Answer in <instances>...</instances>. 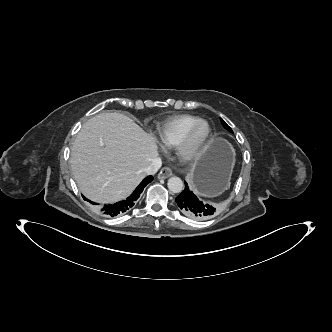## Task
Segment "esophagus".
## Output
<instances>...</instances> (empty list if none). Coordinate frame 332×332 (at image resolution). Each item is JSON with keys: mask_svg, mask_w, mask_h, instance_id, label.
<instances>
[{"mask_svg": "<svg viewBox=\"0 0 332 332\" xmlns=\"http://www.w3.org/2000/svg\"><path fill=\"white\" fill-rule=\"evenodd\" d=\"M172 175V170L169 167H164L161 169V171L158 173L157 177L158 179H166Z\"/></svg>", "mask_w": 332, "mask_h": 332, "instance_id": "esophagus-1", "label": "esophagus"}]
</instances>
